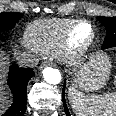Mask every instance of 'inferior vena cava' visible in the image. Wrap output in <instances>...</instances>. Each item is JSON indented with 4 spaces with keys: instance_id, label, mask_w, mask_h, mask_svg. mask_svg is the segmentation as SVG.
<instances>
[{
    "instance_id": "obj_1",
    "label": "inferior vena cava",
    "mask_w": 116,
    "mask_h": 116,
    "mask_svg": "<svg viewBox=\"0 0 116 116\" xmlns=\"http://www.w3.org/2000/svg\"><path fill=\"white\" fill-rule=\"evenodd\" d=\"M16 60L20 66L34 67L37 65V59L28 53H21L17 55Z\"/></svg>"
}]
</instances>
